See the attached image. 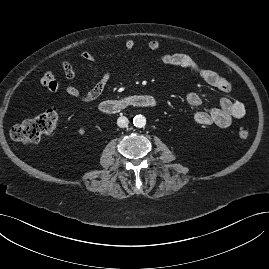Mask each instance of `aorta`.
I'll use <instances>...</instances> for the list:
<instances>
[{
    "instance_id": "1",
    "label": "aorta",
    "mask_w": 269,
    "mask_h": 269,
    "mask_svg": "<svg viewBox=\"0 0 269 269\" xmlns=\"http://www.w3.org/2000/svg\"><path fill=\"white\" fill-rule=\"evenodd\" d=\"M133 124L137 128H142L146 125V118L143 115H136L133 118Z\"/></svg>"
}]
</instances>
